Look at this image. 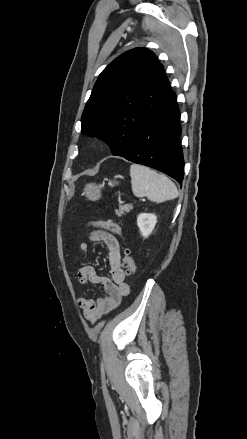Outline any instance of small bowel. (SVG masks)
<instances>
[{"instance_id":"1","label":"small bowel","mask_w":247,"mask_h":439,"mask_svg":"<svg viewBox=\"0 0 247 439\" xmlns=\"http://www.w3.org/2000/svg\"><path fill=\"white\" fill-rule=\"evenodd\" d=\"M89 238L91 241H101L105 244L111 273V278L98 276L91 265H85L78 271L77 277L81 284H101L106 292L105 297L96 301L88 298L78 300L84 317L89 322L94 323L104 314L116 308L121 299L129 294L130 289L125 282L126 275L118 239L105 230H95L90 233ZM78 253L82 256L86 255L88 253V244L85 242L80 243Z\"/></svg>"}]
</instances>
